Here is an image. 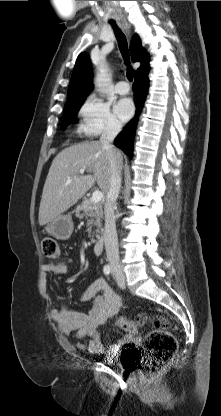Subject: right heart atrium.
<instances>
[{"instance_id": "obj_1", "label": "right heart atrium", "mask_w": 221, "mask_h": 416, "mask_svg": "<svg viewBox=\"0 0 221 416\" xmlns=\"http://www.w3.org/2000/svg\"><path fill=\"white\" fill-rule=\"evenodd\" d=\"M79 133L96 137L103 133L116 134L121 124L110 106L95 95H89L79 109Z\"/></svg>"}]
</instances>
